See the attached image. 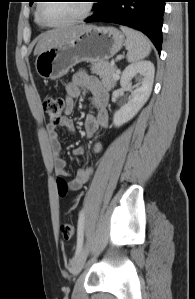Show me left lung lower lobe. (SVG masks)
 I'll use <instances>...</instances> for the list:
<instances>
[{
	"mask_svg": "<svg viewBox=\"0 0 195 299\" xmlns=\"http://www.w3.org/2000/svg\"><path fill=\"white\" fill-rule=\"evenodd\" d=\"M95 13L85 22H111L134 28L149 37L161 52L166 0H97Z\"/></svg>",
	"mask_w": 195,
	"mask_h": 299,
	"instance_id": "0a47b994",
	"label": "left lung lower lobe"
}]
</instances>
